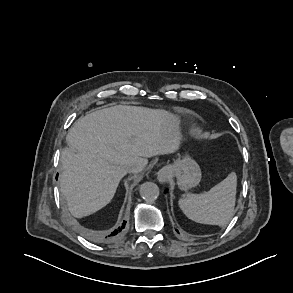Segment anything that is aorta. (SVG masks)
Returning a JSON list of instances; mask_svg holds the SVG:
<instances>
[{
  "label": "aorta",
  "mask_w": 293,
  "mask_h": 293,
  "mask_svg": "<svg viewBox=\"0 0 293 293\" xmlns=\"http://www.w3.org/2000/svg\"><path fill=\"white\" fill-rule=\"evenodd\" d=\"M141 197L146 201H154L159 196V188L153 182H145L140 185L139 189Z\"/></svg>",
  "instance_id": "obj_1"
}]
</instances>
